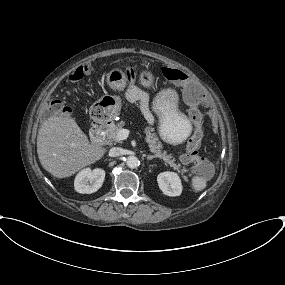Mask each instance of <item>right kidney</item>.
<instances>
[{
  "mask_svg": "<svg viewBox=\"0 0 285 285\" xmlns=\"http://www.w3.org/2000/svg\"><path fill=\"white\" fill-rule=\"evenodd\" d=\"M105 179V171L103 169L86 168L79 172L74 180V188L81 194H91L101 188Z\"/></svg>",
  "mask_w": 285,
  "mask_h": 285,
  "instance_id": "ca27d5eb",
  "label": "right kidney"
}]
</instances>
